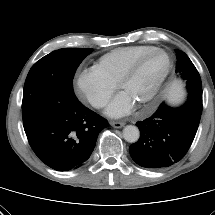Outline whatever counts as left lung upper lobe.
Returning <instances> with one entry per match:
<instances>
[{
	"instance_id": "left-lung-upper-lobe-1",
	"label": "left lung upper lobe",
	"mask_w": 215,
	"mask_h": 215,
	"mask_svg": "<svg viewBox=\"0 0 215 215\" xmlns=\"http://www.w3.org/2000/svg\"><path fill=\"white\" fill-rule=\"evenodd\" d=\"M176 54V72L186 80L189 96L202 100V83L197 69L184 52L176 50Z\"/></svg>"
}]
</instances>
